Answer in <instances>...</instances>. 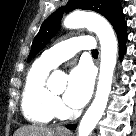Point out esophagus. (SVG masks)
Here are the masks:
<instances>
[{
  "mask_svg": "<svg viewBox=\"0 0 136 136\" xmlns=\"http://www.w3.org/2000/svg\"><path fill=\"white\" fill-rule=\"evenodd\" d=\"M60 130H61V132H65V133L67 132V130L64 128H61Z\"/></svg>",
  "mask_w": 136,
  "mask_h": 136,
  "instance_id": "esophagus-1",
  "label": "esophagus"
}]
</instances>
